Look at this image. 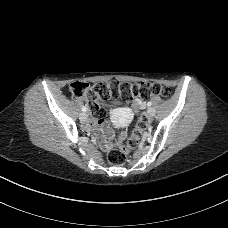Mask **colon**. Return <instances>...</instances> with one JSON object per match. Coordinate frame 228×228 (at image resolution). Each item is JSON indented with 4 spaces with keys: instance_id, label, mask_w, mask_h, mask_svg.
Instances as JSON below:
<instances>
[{
    "instance_id": "colon-1",
    "label": "colon",
    "mask_w": 228,
    "mask_h": 228,
    "mask_svg": "<svg viewBox=\"0 0 228 228\" xmlns=\"http://www.w3.org/2000/svg\"><path fill=\"white\" fill-rule=\"evenodd\" d=\"M69 91L74 97L86 100L95 127H99L103 122V110L99 105V100L110 97L120 98L124 101L133 99L145 100L152 96L167 97L170 94L168 87L155 82L110 81L99 82L91 86L86 82L78 81L70 84ZM146 127V118H139L132 134L126 141V145L112 149L108 153V161L113 165H122L125 162L126 153L138 146L140 136Z\"/></svg>"
}]
</instances>
